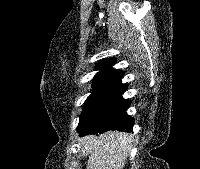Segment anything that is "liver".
<instances>
[{"label": "liver", "mask_w": 200, "mask_h": 169, "mask_svg": "<svg viewBox=\"0 0 200 169\" xmlns=\"http://www.w3.org/2000/svg\"><path fill=\"white\" fill-rule=\"evenodd\" d=\"M132 138L128 133L109 131L79 139L84 154L88 155L86 169H123L132 148Z\"/></svg>", "instance_id": "liver-1"}]
</instances>
